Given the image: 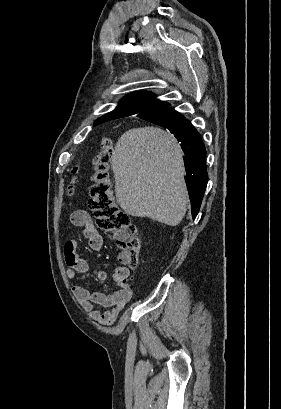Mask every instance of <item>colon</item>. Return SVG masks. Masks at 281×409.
I'll return each mask as SVG.
<instances>
[{
	"instance_id": "colon-1",
	"label": "colon",
	"mask_w": 281,
	"mask_h": 409,
	"mask_svg": "<svg viewBox=\"0 0 281 409\" xmlns=\"http://www.w3.org/2000/svg\"><path fill=\"white\" fill-rule=\"evenodd\" d=\"M114 149L108 139L92 160V185L90 189V207L96 225L103 231L112 232L121 260L132 267L138 262L139 240L136 227L130 216L123 212L116 203L111 179V161ZM78 167L74 168L77 171ZM77 179L68 188V193L75 191Z\"/></svg>"
}]
</instances>
